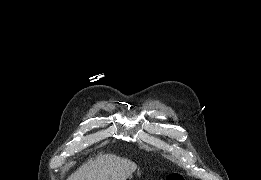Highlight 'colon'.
<instances>
[{"instance_id": "1", "label": "colon", "mask_w": 261, "mask_h": 180, "mask_svg": "<svg viewBox=\"0 0 261 180\" xmlns=\"http://www.w3.org/2000/svg\"><path fill=\"white\" fill-rule=\"evenodd\" d=\"M183 177L179 173H170L168 174L166 180H182Z\"/></svg>"}]
</instances>
